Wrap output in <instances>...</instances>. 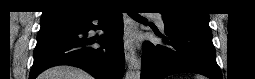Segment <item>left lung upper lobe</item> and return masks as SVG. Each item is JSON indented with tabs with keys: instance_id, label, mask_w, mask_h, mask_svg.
Wrapping results in <instances>:
<instances>
[{
	"instance_id": "1",
	"label": "left lung upper lobe",
	"mask_w": 255,
	"mask_h": 79,
	"mask_svg": "<svg viewBox=\"0 0 255 79\" xmlns=\"http://www.w3.org/2000/svg\"><path fill=\"white\" fill-rule=\"evenodd\" d=\"M160 13L167 24H204L209 26V15L197 11L182 10L181 4L175 0L159 1Z\"/></svg>"
}]
</instances>
